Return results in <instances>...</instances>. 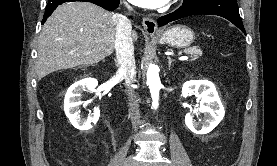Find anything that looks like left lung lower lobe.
Listing matches in <instances>:
<instances>
[{
    "label": "left lung lower lobe",
    "instance_id": "1",
    "mask_svg": "<svg viewBox=\"0 0 277 166\" xmlns=\"http://www.w3.org/2000/svg\"><path fill=\"white\" fill-rule=\"evenodd\" d=\"M199 14L224 17L246 34L236 0H194L191 3L183 4L172 13L160 17L158 24L163 26L171 21Z\"/></svg>",
    "mask_w": 277,
    "mask_h": 166
}]
</instances>
